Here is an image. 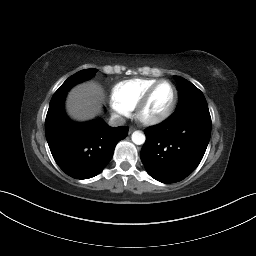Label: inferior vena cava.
Masks as SVG:
<instances>
[{"label": "inferior vena cava", "mask_w": 256, "mask_h": 256, "mask_svg": "<svg viewBox=\"0 0 256 256\" xmlns=\"http://www.w3.org/2000/svg\"><path fill=\"white\" fill-rule=\"evenodd\" d=\"M125 124V119L119 115H112L109 120V125L112 127L122 126Z\"/></svg>", "instance_id": "inferior-vena-cava-1"}]
</instances>
